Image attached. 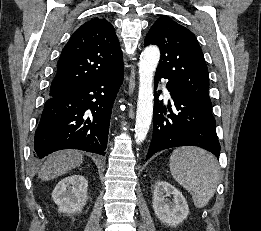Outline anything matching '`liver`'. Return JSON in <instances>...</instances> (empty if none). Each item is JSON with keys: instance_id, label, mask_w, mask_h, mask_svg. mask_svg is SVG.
<instances>
[{"instance_id": "obj_1", "label": "liver", "mask_w": 261, "mask_h": 231, "mask_svg": "<svg viewBox=\"0 0 261 231\" xmlns=\"http://www.w3.org/2000/svg\"><path fill=\"white\" fill-rule=\"evenodd\" d=\"M83 154L75 150H65L51 154L38 173L41 180H50L80 166Z\"/></svg>"}]
</instances>
